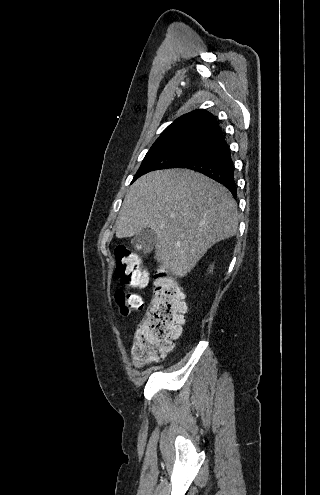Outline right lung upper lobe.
<instances>
[{
    "label": "right lung upper lobe",
    "mask_w": 320,
    "mask_h": 495,
    "mask_svg": "<svg viewBox=\"0 0 320 495\" xmlns=\"http://www.w3.org/2000/svg\"><path fill=\"white\" fill-rule=\"evenodd\" d=\"M222 132L213 114L204 109H198L182 115L171 123L153 145L184 140H209Z\"/></svg>",
    "instance_id": "obj_1"
}]
</instances>
